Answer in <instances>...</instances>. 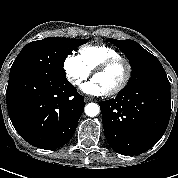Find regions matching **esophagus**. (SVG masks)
Returning a JSON list of instances; mask_svg holds the SVG:
<instances>
[{
  "label": "esophagus",
  "mask_w": 178,
  "mask_h": 178,
  "mask_svg": "<svg viewBox=\"0 0 178 178\" xmlns=\"http://www.w3.org/2000/svg\"><path fill=\"white\" fill-rule=\"evenodd\" d=\"M84 101L85 102H90V101H93V98H91V97H85Z\"/></svg>",
  "instance_id": "esophagus-1"
}]
</instances>
